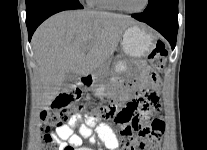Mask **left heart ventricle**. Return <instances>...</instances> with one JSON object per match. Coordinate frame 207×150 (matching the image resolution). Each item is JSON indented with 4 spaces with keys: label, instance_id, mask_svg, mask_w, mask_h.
I'll list each match as a JSON object with an SVG mask.
<instances>
[{
    "label": "left heart ventricle",
    "instance_id": "b2bd125f",
    "mask_svg": "<svg viewBox=\"0 0 207 150\" xmlns=\"http://www.w3.org/2000/svg\"><path fill=\"white\" fill-rule=\"evenodd\" d=\"M122 5L129 10H137L140 9L145 0H120Z\"/></svg>",
    "mask_w": 207,
    "mask_h": 150
}]
</instances>
